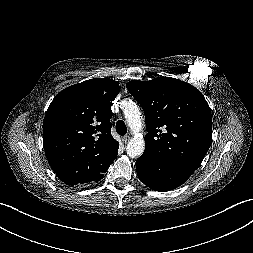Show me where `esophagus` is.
Segmentation results:
<instances>
[{"label": "esophagus", "mask_w": 253, "mask_h": 253, "mask_svg": "<svg viewBox=\"0 0 253 253\" xmlns=\"http://www.w3.org/2000/svg\"><path fill=\"white\" fill-rule=\"evenodd\" d=\"M129 140H130V136H128V135L122 137V141L125 144H127L129 142Z\"/></svg>", "instance_id": "1"}]
</instances>
